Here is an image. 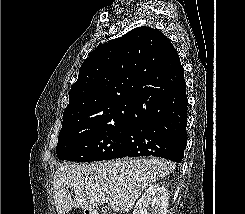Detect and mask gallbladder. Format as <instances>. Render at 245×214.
<instances>
[{
	"label": "gallbladder",
	"mask_w": 245,
	"mask_h": 214,
	"mask_svg": "<svg viewBox=\"0 0 245 214\" xmlns=\"http://www.w3.org/2000/svg\"><path fill=\"white\" fill-rule=\"evenodd\" d=\"M110 210V208L108 206H103L102 207V212L105 214Z\"/></svg>",
	"instance_id": "obj_1"
}]
</instances>
